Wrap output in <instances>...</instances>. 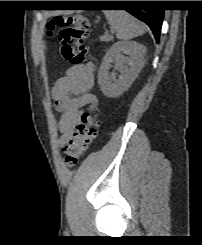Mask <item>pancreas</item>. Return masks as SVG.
<instances>
[{
  "mask_svg": "<svg viewBox=\"0 0 202 245\" xmlns=\"http://www.w3.org/2000/svg\"><path fill=\"white\" fill-rule=\"evenodd\" d=\"M112 38L110 36H107L106 38H101L102 41H108V40H111Z\"/></svg>",
  "mask_w": 202,
  "mask_h": 245,
  "instance_id": "cf45deb5",
  "label": "pancreas"
}]
</instances>
